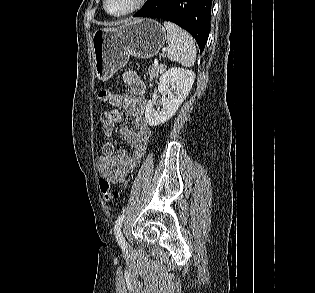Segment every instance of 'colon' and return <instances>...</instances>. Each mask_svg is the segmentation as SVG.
<instances>
[{
  "label": "colon",
  "instance_id": "obj_1",
  "mask_svg": "<svg viewBox=\"0 0 315 293\" xmlns=\"http://www.w3.org/2000/svg\"><path fill=\"white\" fill-rule=\"evenodd\" d=\"M111 94H112V92L108 89L101 90L98 93V100L101 102H105L109 99ZM99 187H100V191L102 193V196L106 201H110L111 198H113L115 196V192L112 189V185L107 179L101 178L99 180Z\"/></svg>",
  "mask_w": 315,
  "mask_h": 293
}]
</instances>
